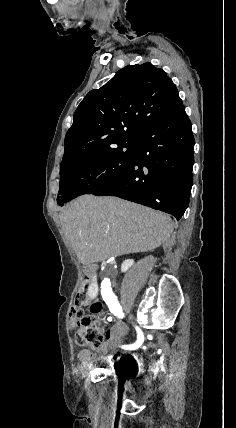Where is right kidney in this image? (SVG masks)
<instances>
[{
  "label": "right kidney",
  "mask_w": 236,
  "mask_h": 428,
  "mask_svg": "<svg viewBox=\"0 0 236 428\" xmlns=\"http://www.w3.org/2000/svg\"><path fill=\"white\" fill-rule=\"evenodd\" d=\"M134 260H124L123 264H121V272H127L131 266H133ZM98 292L97 284H96V276L94 278V284H91L88 288V296L89 300H94L96 298V294Z\"/></svg>",
  "instance_id": "obj_1"
}]
</instances>
